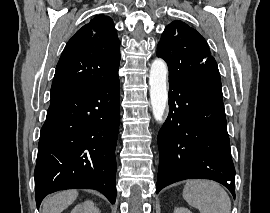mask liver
<instances>
[{
	"mask_svg": "<svg viewBox=\"0 0 270 213\" xmlns=\"http://www.w3.org/2000/svg\"><path fill=\"white\" fill-rule=\"evenodd\" d=\"M76 190H66L47 197L43 201L42 213H61L77 198Z\"/></svg>",
	"mask_w": 270,
	"mask_h": 213,
	"instance_id": "liver-1",
	"label": "liver"
}]
</instances>
